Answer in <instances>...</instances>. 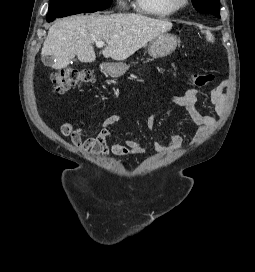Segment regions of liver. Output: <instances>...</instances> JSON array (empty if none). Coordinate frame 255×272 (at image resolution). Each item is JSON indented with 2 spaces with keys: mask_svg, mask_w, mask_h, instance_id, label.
I'll return each mask as SVG.
<instances>
[{
  "mask_svg": "<svg viewBox=\"0 0 255 272\" xmlns=\"http://www.w3.org/2000/svg\"><path fill=\"white\" fill-rule=\"evenodd\" d=\"M172 28L166 19H154L136 13L111 15H74L56 21L48 31L42 57H51L54 69H62L77 56L90 63L96 55L93 44L106 41L105 58L125 60L160 34Z\"/></svg>",
  "mask_w": 255,
  "mask_h": 272,
  "instance_id": "obj_1",
  "label": "liver"
}]
</instances>
